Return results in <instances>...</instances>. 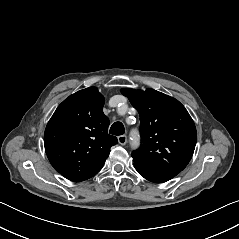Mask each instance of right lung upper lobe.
I'll return each instance as SVG.
<instances>
[{
  "instance_id": "obj_1",
  "label": "right lung upper lobe",
  "mask_w": 239,
  "mask_h": 239,
  "mask_svg": "<svg viewBox=\"0 0 239 239\" xmlns=\"http://www.w3.org/2000/svg\"><path fill=\"white\" fill-rule=\"evenodd\" d=\"M104 97L96 87L80 90L65 99L48 122L44 146L52 166L65 178L80 182L97 174L118 143L107 133Z\"/></svg>"
}]
</instances>
